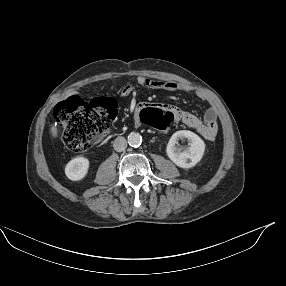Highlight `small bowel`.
<instances>
[{
  "instance_id": "small-bowel-1",
  "label": "small bowel",
  "mask_w": 286,
  "mask_h": 286,
  "mask_svg": "<svg viewBox=\"0 0 286 286\" xmlns=\"http://www.w3.org/2000/svg\"><path fill=\"white\" fill-rule=\"evenodd\" d=\"M140 87L171 92L193 91L191 88L182 84L163 80H151L143 76H138L135 83L125 85L121 92L123 95H130ZM196 94L198 98L202 100H206L207 98L203 92H197ZM158 108L169 112L173 117V121H182L187 127L199 133L205 140L214 141L216 139L218 133V115L214 107H209L206 110L203 119H200L194 114L178 110L177 108L171 106L166 100L154 101L153 99H148L139 101L136 107L133 108L132 115L137 117L143 110H155Z\"/></svg>"
}]
</instances>
